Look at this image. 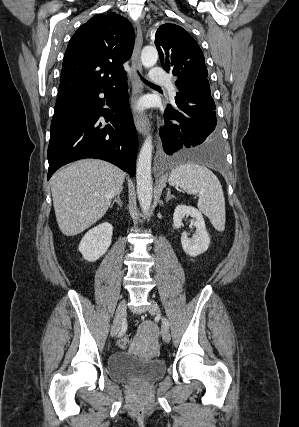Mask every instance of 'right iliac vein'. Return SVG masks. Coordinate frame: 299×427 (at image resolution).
Returning <instances> with one entry per match:
<instances>
[{"instance_id":"obj_1","label":"right iliac vein","mask_w":299,"mask_h":427,"mask_svg":"<svg viewBox=\"0 0 299 427\" xmlns=\"http://www.w3.org/2000/svg\"><path fill=\"white\" fill-rule=\"evenodd\" d=\"M126 314V300L122 299L121 302L119 303L116 313H115V318H114V322L111 328V336L115 337L118 332L120 331L121 325H122V320L124 318Z\"/></svg>"}]
</instances>
